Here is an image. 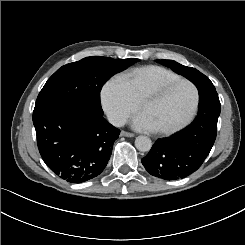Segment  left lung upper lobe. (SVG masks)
Here are the masks:
<instances>
[{"label": "left lung upper lobe", "instance_id": "left-lung-upper-lobe-1", "mask_svg": "<svg viewBox=\"0 0 245 245\" xmlns=\"http://www.w3.org/2000/svg\"><path fill=\"white\" fill-rule=\"evenodd\" d=\"M158 63L165 65L169 68H171L173 71L176 73L183 75L190 81H192L195 85L202 82L209 80L208 77H206L204 74L196 70L195 68L192 67H186L183 66L176 61L173 60H157Z\"/></svg>", "mask_w": 245, "mask_h": 245}]
</instances>
